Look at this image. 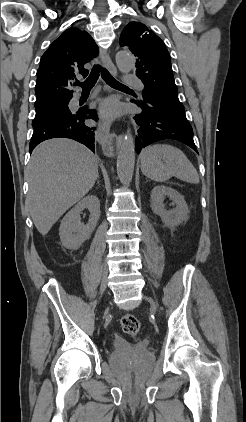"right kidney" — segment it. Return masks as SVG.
Listing matches in <instances>:
<instances>
[{"label": "right kidney", "mask_w": 246, "mask_h": 422, "mask_svg": "<svg viewBox=\"0 0 246 422\" xmlns=\"http://www.w3.org/2000/svg\"><path fill=\"white\" fill-rule=\"evenodd\" d=\"M87 208L90 212L89 222L81 223L80 214ZM100 217V202L97 196L88 195L78 202L62 219L59 235L62 245L70 250L79 249L90 238Z\"/></svg>", "instance_id": "obj_1"}]
</instances>
